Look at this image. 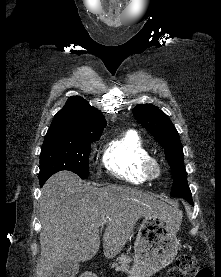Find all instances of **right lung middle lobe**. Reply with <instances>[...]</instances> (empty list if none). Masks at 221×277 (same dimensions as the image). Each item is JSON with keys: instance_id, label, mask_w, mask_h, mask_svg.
<instances>
[{"instance_id": "obj_1", "label": "right lung middle lobe", "mask_w": 221, "mask_h": 277, "mask_svg": "<svg viewBox=\"0 0 221 277\" xmlns=\"http://www.w3.org/2000/svg\"><path fill=\"white\" fill-rule=\"evenodd\" d=\"M101 133H47L40 154V183L61 170L88 178L91 143L99 139Z\"/></svg>"}]
</instances>
